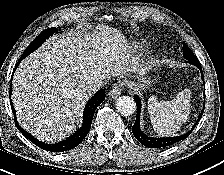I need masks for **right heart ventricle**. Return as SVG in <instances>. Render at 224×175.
I'll use <instances>...</instances> for the list:
<instances>
[{
    "label": "right heart ventricle",
    "instance_id": "right-heart-ventricle-1",
    "mask_svg": "<svg viewBox=\"0 0 224 175\" xmlns=\"http://www.w3.org/2000/svg\"><path fill=\"white\" fill-rule=\"evenodd\" d=\"M138 45H139V47H143L145 44H144V42H142V43H138Z\"/></svg>",
    "mask_w": 224,
    "mask_h": 175
}]
</instances>
